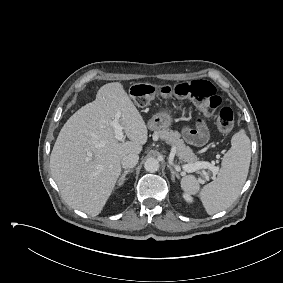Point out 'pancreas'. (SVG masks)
<instances>
[{"label": "pancreas", "mask_w": 283, "mask_h": 283, "mask_svg": "<svg viewBox=\"0 0 283 283\" xmlns=\"http://www.w3.org/2000/svg\"><path fill=\"white\" fill-rule=\"evenodd\" d=\"M156 136H158L161 140L166 141L168 144L172 145V147L176 151V155L179 158L181 162H185L188 164H195L198 161V158L193 153L192 149L189 146H186L184 141L180 138V133L177 131L165 129V130H159L154 133ZM202 169V173L206 175L204 167L200 168Z\"/></svg>", "instance_id": "1"}]
</instances>
